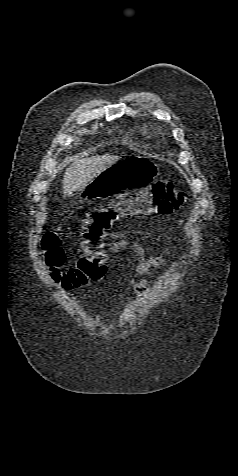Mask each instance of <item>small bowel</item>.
<instances>
[{
  "label": "small bowel",
  "mask_w": 238,
  "mask_h": 476,
  "mask_svg": "<svg viewBox=\"0 0 238 476\" xmlns=\"http://www.w3.org/2000/svg\"><path fill=\"white\" fill-rule=\"evenodd\" d=\"M114 242L110 246L111 253H119L125 250L131 244L134 252L137 255L135 265L136 278L130 279L129 283L139 295H144L148 290V282L143 276L154 267L164 268L166 266L165 260L162 256L147 257L145 248L138 242H128L124 234L114 233Z\"/></svg>",
  "instance_id": "c3829d8e"
}]
</instances>
